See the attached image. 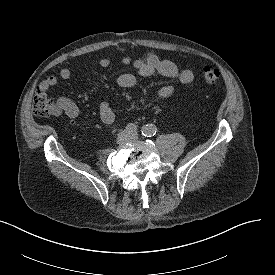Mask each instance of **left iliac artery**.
Returning a JSON list of instances; mask_svg holds the SVG:
<instances>
[{"instance_id": "obj_1", "label": "left iliac artery", "mask_w": 275, "mask_h": 275, "mask_svg": "<svg viewBox=\"0 0 275 275\" xmlns=\"http://www.w3.org/2000/svg\"><path fill=\"white\" fill-rule=\"evenodd\" d=\"M141 133L145 137H152V136L156 135L157 128H156V126H154L152 124H147L142 127Z\"/></svg>"}]
</instances>
